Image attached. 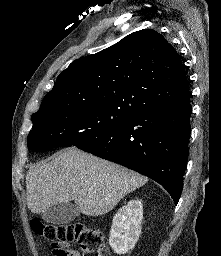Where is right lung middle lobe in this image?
Wrapping results in <instances>:
<instances>
[{"label":"right lung middle lobe","instance_id":"1","mask_svg":"<svg viewBox=\"0 0 221 256\" xmlns=\"http://www.w3.org/2000/svg\"><path fill=\"white\" fill-rule=\"evenodd\" d=\"M135 116L128 108L107 104L77 105L35 115L28 146L31 150L79 146Z\"/></svg>","mask_w":221,"mask_h":256}]
</instances>
